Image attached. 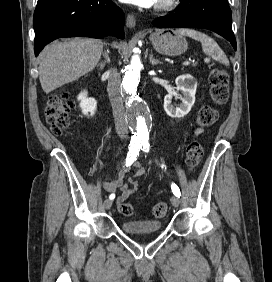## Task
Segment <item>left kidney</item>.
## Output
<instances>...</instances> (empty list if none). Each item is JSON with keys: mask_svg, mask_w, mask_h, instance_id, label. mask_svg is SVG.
I'll return each instance as SVG.
<instances>
[{"mask_svg": "<svg viewBox=\"0 0 272 282\" xmlns=\"http://www.w3.org/2000/svg\"><path fill=\"white\" fill-rule=\"evenodd\" d=\"M175 83L176 92H170L164 97V110L172 118H182L190 112L195 103L197 83L189 74L178 76ZM179 91L181 94H178ZM173 97L182 101L179 107L172 104Z\"/></svg>", "mask_w": 272, "mask_h": 282, "instance_id": "1", "label": "left kidney"}]
</instances>
